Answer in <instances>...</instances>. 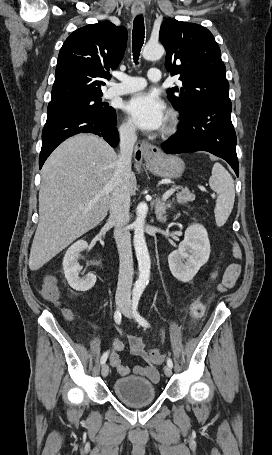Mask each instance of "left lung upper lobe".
Segmentation results:
<instances>
[{
    "instance_id": "1",
    "label": "left lung upper lobe",
    "mask_w": 272,
    "mask_h": 455,
    "mask_svg": "<svg viewBox=\"0 0 272 455\" xmlns=\"http://www.w3.org/2000/svg\"><path fill=\"white\" fill-rule=\"evenodd\" d=\"M159 38L166 49V69L172 76L179 74L183 83L167 91L181 116L205 102H230L221 51L207 28L170 18L162 23Z\"/></svg>"
}]
</instances>
